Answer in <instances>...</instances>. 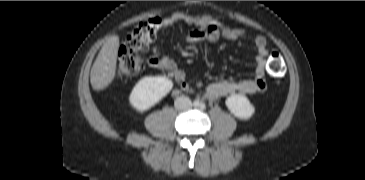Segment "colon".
I'll use <instances>...</instances> for the list:
<instances>
[{
	"mask_svg": "<svg viewBox=\"0 0 365 180\" xmlns=\"http://www.w3.org/2000/svg\"><path fill=\"white\" fill-rule=\"evenodd\" d=\"M161 28V20L151 18L141 22L127 35L120 46L117 56V72L122 76L138 74L144 67V51L150 41L155 39ZM267 68L272 76L279 77L285 72L282 55L273 51L268 57Z\"/></svg>",
	"mask_w": 365,
	"mask_h": 180,
	"instance_id": "1",
	"label": "colon"
}]
</instances>
